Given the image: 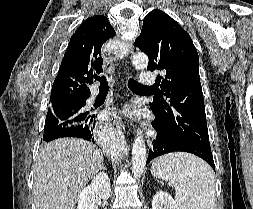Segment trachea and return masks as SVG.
<instances>
[{
	"instance_id": "1",
	"label": "trachea",
	"mask_w": 253,
	"mask_h": 209,
	"mask_svg": "<svg viewBox=\"0 0 253 209\" xmlns=\"http://www.w3.org/2000/svg\"><path fill=\"white\" fill-rule=\"evenodd\" d=\"M96 80H98L100 82V89L101 90H109V84L107 82L106 77H104V76L96 77ZM128 87L133 90V89L146 88L147 86H144V85H142L130 78L129 82H128Z\"/></svg>"
}]
</instances>
